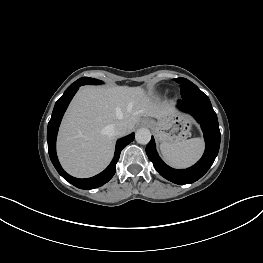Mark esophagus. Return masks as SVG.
I'll list each match as a JSON object with an SVG mask.
<instances>
[{
    "label": "esophagus",
    "mask_w": 263,
    "mask_h": 263,
    "mask_svg": "<svg viewBox=\"0 0 263 263\" xmlns=\"http://www.w3.org/2000/svg\"><path fill=\"white\" fill-rule=\"evenodd\" d=\"M149 123H150V120L147 119V118L142 120V124H143L144 126H148Z\"/></svg>",
    "instance_id": "1"
}]
</instances>
